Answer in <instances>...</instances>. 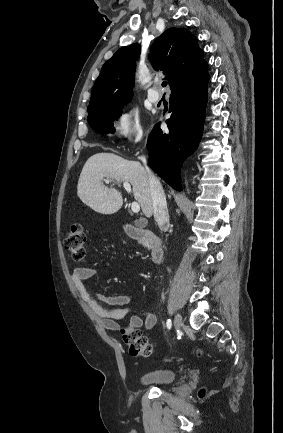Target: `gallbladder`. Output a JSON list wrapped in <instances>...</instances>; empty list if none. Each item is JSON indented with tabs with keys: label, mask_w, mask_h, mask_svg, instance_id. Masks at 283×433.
Wrapping results in <instances>:
<instances>
[{
	"label": "gallbladder",
	"mask_w": 283,
	"mask_h": 433,
	"mask_svg": "<svg viewBox=\"0 0 283 433\" xmlns=\"http://www.w3.org/2000/svg\"><path fill=\"white\" fill-rule=\"evenodd\" d=\"M134 223L135 227H139V229H144L147 225L146 221H134Z\"/></svg>",
	"instance_id": "bac80fb5"
}]
</instances>
